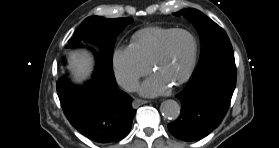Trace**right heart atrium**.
<instances>
[{
	"label": "right heart atrium",
	"instance_id": "d8ad5b80",
	"mask_svg": "<svg viewBox=\"0 0 279 148\" xmlns=\"http://www.w3.org/2000/svg\"><path fill=\"white\" fill-rule=\"evenodd\" d=\"M113 68L117 81L127 90H133L139 79L150 70L131 45L115 50Z\"/></svg>",
	"mask_w": 279,
	"mask_h": 148
}]
</instances>
